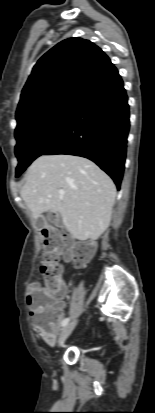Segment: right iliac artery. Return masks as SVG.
I'll return each mask as SVG.
<instances>
[{
	"label": "right iliac artery",
	"instance_id": "82829eb1",
	"mask_svg": "<svg viewBox=\"0 0 155 413\" xmlns=\"http://www.w3.org/2000/svg\"><path fill=\"white\" fill-rule=\"evenodd\" d=\"M69 320H70L69 318H65L62 322V327L66 326L68 324Z\"/></svg>",
	"mask_w": 155,
	"mask_h": 413
}]
</instances>
